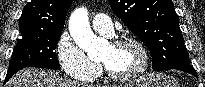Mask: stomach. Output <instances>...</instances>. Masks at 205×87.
I'll list each match as a JSON object with an SVG mask.
<instances>
[{
    "label": "stomach",
    "mask_w": 205,
    "mask_h": 87,
    "mask_svg": "<svg viewBox=\"0 0 205 87\" xmlns=\"http://www.w3.org/2000/svg\"><path fill=\"white\" fill-rule=\"evenodd\" d=\"M126 87H178V83L172 77L156 74L143 76Z\"/></svg>",
    "instance_id": "1"
}]
</instances>
